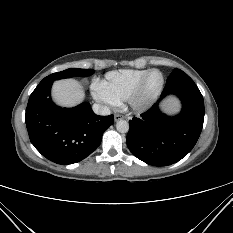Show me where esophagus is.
Returning a JSON list of instances; mask_svg holds the SVG:
<instances>
[{
	"label": "esophagus",
	"mask_w": 233,
	"mask_h": 233,
	"mask_svg": "<svg viewBox=\"0 0 233 233\" xmlns=\"http://www.w3.org/2000/svg\"><path fill=\"white\" fill-rule=\"evenodd\" d=\"M122 118H123V116L120 115V114H115V115H114V120H115V121L121 120Z\"/></svg>",
	"instance_id": "1"
}]
</instances>
